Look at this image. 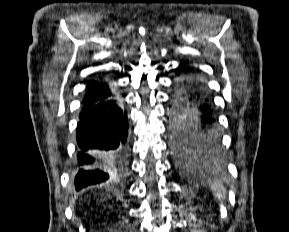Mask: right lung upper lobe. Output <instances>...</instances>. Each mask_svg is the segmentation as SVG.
Instances as JSON below:
<instances>
[{
  "mask_svg": "<svg viewBox=\"0 0 289 232\" xmlns=\"http://www.w3.org/2000/svg\"><path fill=\"white\" fill-rule=\"evenodd\" d=\"M113 95H115V92L110 88L106 81H95L85 94L84 100L93 101L108 98Z\"/></svg>",
  "mask_w": 289,
  "mask_h": 232,
  "instance_id": "cb5924a9",
  "label": "right lung upper lobe"
}]
</instances>
